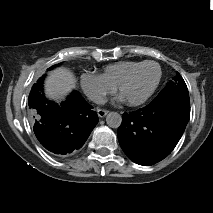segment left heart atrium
Here are the masks:
<instances>
[{
    "label": "left heart atrium",
    "mask_w": 213,
    "mask_h": 213,
    "mask_svg": "<svg viewBox=\"0 0 213 213\" xmlns=\"http://www.w3.org/2000/svg\"><path fill=\"white\" fill-rule=\"evenodd\" d=\"M117 100L120 102H126V100L120 94H119Z\"/></svg>",
    "instance_id": "39dd6f15"
}]
</instances>
